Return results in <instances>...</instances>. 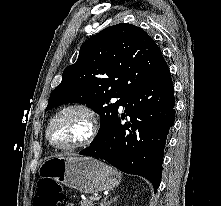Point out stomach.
Masks as SVG:
<instances>
[{
  "label": "stomach",
  "instance_id": "obj_1",
  "mask_svg": "<svg viewBox=\"0 0 221 206\" xmlns=\"http://www.w3.org/2000/svg\"><path fill=\"white\" fill-rule=\"evenodd\" d=\"M41 177H47L83 193L109 190L121 181V174L90 157H51L39 168Z\"/></svg>",
  "mask_w": 221,
  "mask_h": 206
}]
</instances>
